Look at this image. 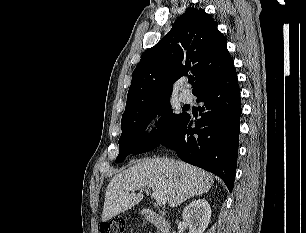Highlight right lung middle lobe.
<instances>
[{
  "label": "right lung middle lobe",
  "instance_id": "1",
  "mask_svg": "<svg viewBox=\"0 0 306 233\" xmlns=\"http://www.w3.org/2000/svg\"><path fill=\"white\" fill-rule=\"evenodd\" d=\"M161 116L159 126L150 134L145 132L149 121ZM186 113L174 114L170 100H164L122 117V134L119 139L120 152L115 162H121L131 153H143L158 147L181 125Z\"/></svg>",
  "mask_w": 306,
  "mask_h": 233
}]
</instances>
